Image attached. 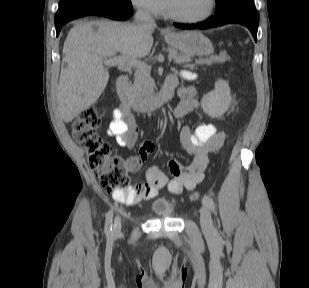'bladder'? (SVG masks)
Returning <instances> with one entry per match:
<instances>
[{"mask_svg":"<svg viewBox=\"0 0 309 288\" xmlns=\"http://www.w3.org/2000/svg\"><path fill=\"white\" fill-rule=\"evenodd\" d=\"M150 211L155 218L172 217L174 214V203L164 196H155L149 205Z\"/></svg>","mask_w":309,"mask_h":288,"instance_id":"31cf9c89","label":"bladder"}]
</instances>
